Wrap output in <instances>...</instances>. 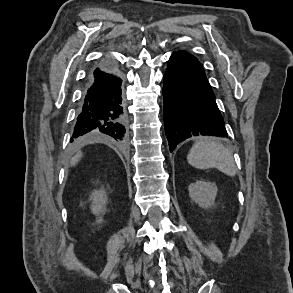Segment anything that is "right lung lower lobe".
I'll list each match as a JSON object with an SVG mask.
<instances>
[{
    "mask_svg": "<svg viewBox=\"0 0 293 293\" xmlns=\"http://www.w3.org/2000/svg\"><path fill=\"white\" fill-rule=\"evenodd\" d=\"M122 79L111 61H101L88 75L71 142L78 139L126 141V111L121 95Z\"/></svg>",
    "mask_w": 293,
    "mask_h": 293,
    "instance_id": "1",
    "label": "right lung lower lobe"
}]
</instances>
